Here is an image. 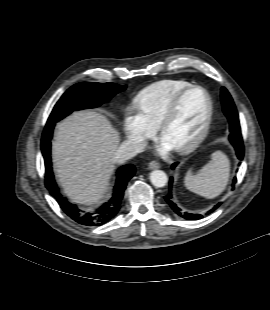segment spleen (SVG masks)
I'll return each instance as SVG.
<instances>
[{"label":"spleen","instance_id":"obj_1","mask_svg":"<svg viewBox=\"0 0 270 310\" xmlns=\"http://www.w3.org/2000/svg\"><path fill=\"white\" fill-rule=\"evenodd\" d=\"M230 176V161L223 152L211 155V161L197 173L190 171L185 178L188 190L202 197L213 199L226 188Z\"/></svg>","mask_w":270,"mask_h":310}]
</instances>
